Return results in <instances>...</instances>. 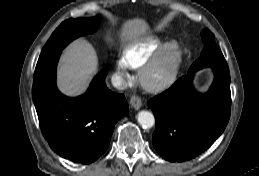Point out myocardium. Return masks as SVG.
<instances>
[{
    "mask_svg": "<svg viewBox=\"0 0 259 176\" xmlns=\"http://www.w3.org/2000/svg\"><path fill=\"white\" fill-rule=\"evenodd\" d=\"M183 46L177 39L164 43L161 49L139 72L142 86L151 92H160L172 86L180 73ZM162 69H165L163 72Z\"/></svg>",
    "mask_w": 259,
    "mask_h": 176,
    "instance_id": "obj_1",
    "label": "myocardium"
}]
</instances>
